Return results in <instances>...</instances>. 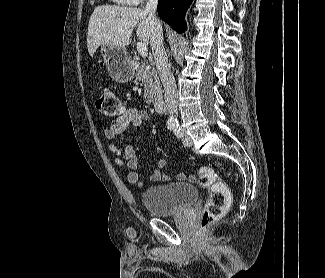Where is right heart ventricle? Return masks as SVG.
Returning a JSON list of instances; mask_svg holds the SVG:
<instances>
[{
	"label": "right heart ventricle",
	"instance_id": "e07e8e85",
	"mask_svg": "<svg viewBox=\"0 0 325 278\" xmlns=\"http://www.w3.org/2000/svg\"><path fill=\"white\" fill-rule=\"evenodd\" d=\"M114 1L122 3V4H130L129 0H114Z\"/></svg>",
	"mask_w": 325,
	"mask_h": 278
}]
</instances>
